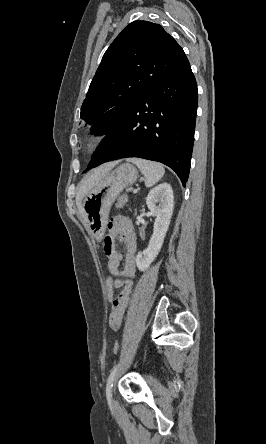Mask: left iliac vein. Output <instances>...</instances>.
I'll return each instance as SVG.
<instances>
[{
  "label": "left iliac vein",
  "instance_id": "obj_1",
  "mask_svg": "<svg viewBox=\"0 0 266 444\" xmlns=\"http://www.w3.org/2000/svg\"><path fill=\"white\" fill-rule=\"evenodd\" d=\"M111 403H112V406H113V407H116V406H117V403H116V401H115L114 398L112 399Z\"/></svg>",
  "mask_w": 266,
  "mask_h": 444
}]
</instances>
